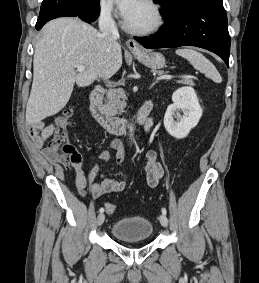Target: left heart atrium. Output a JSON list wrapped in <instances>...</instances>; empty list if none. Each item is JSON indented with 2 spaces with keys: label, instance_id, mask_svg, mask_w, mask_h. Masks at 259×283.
<instances>
[{
  "label": "left heart atrium",
  "instance_id": "left-heart-atrium-1",
  "mask_svg": "<svg viewBox=\"0 0 259 283\" xmlns=\"http://www.w3.org/2000/svg\"><path fill=\"white\" fill-rule=\"evenodd\" d=\"M124 19H127L138 7L141 0H113Z\"/></svg>",
  "mask_w": 259,
  "mask_h": 283
}]
</instances>
